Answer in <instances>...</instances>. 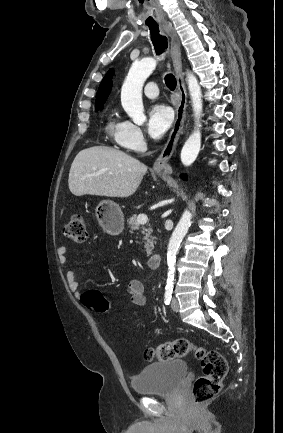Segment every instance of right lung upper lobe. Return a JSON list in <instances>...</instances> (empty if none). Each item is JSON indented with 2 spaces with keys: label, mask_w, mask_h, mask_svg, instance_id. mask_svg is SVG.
I'll return each instance as SVG.
<instances>
[{
  "label": "right lung upper lobe",
  "mask_w": 283,
  "mask_h": 433,
  "mask_svg": "<svg viewBox=\"0 0 283 433\" xmlns=\"http://www.w3.org/2000/svg\"><path fill=\"white\" fill-rule=\"evenodd\" d=\"M112 76H113V69H110L105 77L103 78L97 95H96V102H95V109L103 107L108 95L110 94L111 87H112Z\"/></svg>",
  "instance_id": "right-lung-upper-lobe-1"
}]
</instances>
